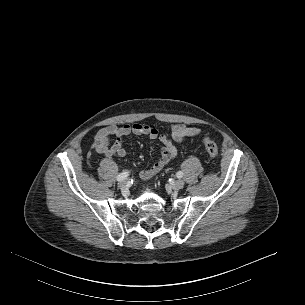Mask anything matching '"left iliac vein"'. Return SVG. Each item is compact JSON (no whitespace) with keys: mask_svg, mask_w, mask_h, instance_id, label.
I'll return each instance as SVG.
<instances>
[{"mask_svg":"<svg viewBox=\"0 0 305 305\" xmlns=\"http://www.w3.org/2000/svg\"><path fill=\"white\" fill-rule=\"evenodd\" d=\"M184 181L182 179H177L172 183V188L175 190L182 189L184 186Z\"/></svg>","mask_w":305,"mask_h":305,"instance_id":"obj_1","label":"left iliac vein"}]
</instances>
